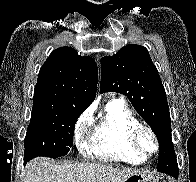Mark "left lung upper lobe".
I'll list each match as a JSON object with an SVG mask.
<instances>
[{
	"label": "left lung upper lobe",
	"instance_id": "5c2ea615",
	"mask_svg": "<svg viewBox=\"0 0 196 182\" xmlns=\"http://www.w3.org/2000/svg\"><path fill=\"white\" fill-rule=\"evenodd\" d=\"M117 92L128 97L139 115L158 138L162 150L174 151L171 139V120L165 89L147 49L127 45L113 56L101 59L100 93ZM157 170L178 176V164L161 162Z\"/></svg>",
	"mask_w": 196,
	"mask_h": 182
}]
</instances>
